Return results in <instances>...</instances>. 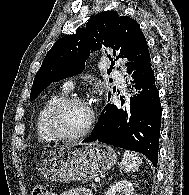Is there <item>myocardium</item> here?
<instances>
[{"instance_id": "myocardium-1", "label": "myocardium", "mask_w": 189, "mask_h": 195, "mask_svg": "<svg viewBox=\"0 0 189 195\" xmlns=\"http://www.w3.org/2000/svg\"><path fill=\"white\" fill-rule=\"evenodd\" d=\"M73 104H81L86 106L89 109L90 117L86 127L81 132L74 135H67L59 129L58 118L64 109H66L68 106ZM94 124H95V113L91 108L90 103L85 98L79 96L65 97L51 109L47 117V128L49 132L55 139L60 141H75V140L82 139L90 133Z\"/></svg>"}]
</instances>
